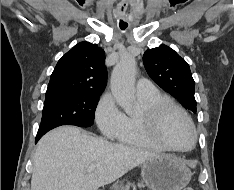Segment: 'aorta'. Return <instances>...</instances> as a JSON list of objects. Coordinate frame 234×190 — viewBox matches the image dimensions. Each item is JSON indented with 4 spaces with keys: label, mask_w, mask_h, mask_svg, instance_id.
<instances>
[{
    "label": "aorta",
    "mask_w": 234,
    "mask_h": 190,
    "mask_svg": "<svg viewBox=\"0 0 234 190\" xmlns=\"http://www.w3.org/2000/svg\"><path fill=\"white\" fill-rule=\"evenodd\" d=\"M136 61L132 56H124L114 67L111 75V92L119 106L126 113L133 111L135 102L134 79Z\"/></svg>",
    "instance_id": "1"
}]
</instances>
